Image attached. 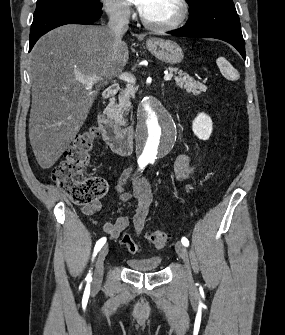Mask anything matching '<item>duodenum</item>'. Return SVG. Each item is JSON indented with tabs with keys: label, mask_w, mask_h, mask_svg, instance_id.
<instances>
[{
	"label": "duodenum",
	"mask_w": 285,
	"mask_h": 335,
	"mask_svg": "<svg viewBox=\"0 0 285 335\" xmlns=\"http://www.w3.org/2000/svg\"><path fill=\"white\" fill-rule=\"evenodd\" d=\"M119 91V85L109 86L103 94L104 107L98 114L97 123L103 140L110 149L121 156L130 155L134 147V130L122 127L112 115V100Z\"/></svg>",
	"instance_id": "duodenum-1"
}]
</instances>
